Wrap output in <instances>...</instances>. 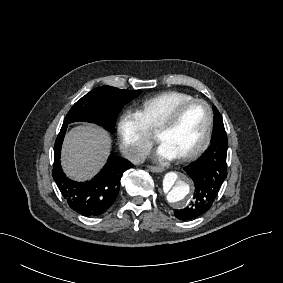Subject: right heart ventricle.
I'll list each match as a JSON object with an SVG mask.
<instances>
[{
  "mask_svg": "<svg viewBox=\"0 0 283 283\" xmlns=\"http://www.w3.org/2000/svg\"><path fill=\"white\" fill-rule=\"evenodd\" d=\"M193 96L181 91H168L142 101L136 112L143 118L149 130L154 131L162 115H166L170 109Z\"/></svg>",
  "mask_w": 283,
  "mask_h": 283,
  "instance_id": "obj_1",
  "label": "right heart ventricle"
}]
</instances>
